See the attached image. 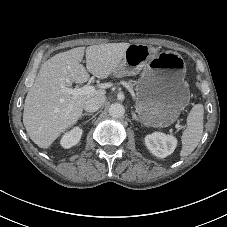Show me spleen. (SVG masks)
<instances>
[{
  "instance_id": "1",
  "label": "spleen",
  "mask_w": 227,
  "mask_h": 227,
  "mask_svg": "<svg viewBox=\"0 0 227 227\" xmlns=\"http://www.w3.org/2000/svg\"><path fill=\"white\" fill-rule=\"evenodd\" d=\"M203 114L202 104H196L187 117V128L182 134L181 157L190 155L198 146L203 134Z\"/></svg>"
}]
</instances>
